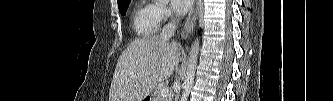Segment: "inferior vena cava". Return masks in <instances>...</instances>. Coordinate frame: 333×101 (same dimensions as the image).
<instances>
[{
	"label": "inferior vena cava",
	"instance_id": "obj_1",
	"mask_svg": "<svg viewBox=\"0 0 333 101\" xmlns=\"http://www.w3.org/2000/svg\"><path fill=\"white\" fill-rule=\"evenodd\" d=\"M177 26H178V20H172L170 23H168L163 27L160 37L164 40H169L174 36ZM172 45L176 47L177 43L175 41H172ZM178 62H179V56L176 60V66L178 65Z\"/></svg>",
	"mask_w": 333,
	"mask_h": 101
}]
</instances>
